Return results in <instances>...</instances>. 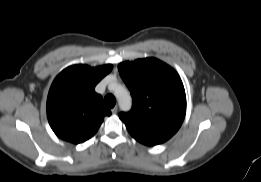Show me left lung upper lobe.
<instances>
[{
    "label": "left lung upper lobe",
    "mask_w": 261,
    "mask_h": 182,
    "mask_svg": "<svg viewBox=\"0 0 261 182\" xmlns=\"http://www.w3.org/2000/svg\"><path fill=\"white\" fill-rule=\"evenodd\" d=\"M133 99L130 112L120 113L127 130L140 143L161 144L180 128L186 113V95L176 71L156 58L118 65Z\"/></svg>",
    "instance_id": "obj_1"
}]
</instances>
